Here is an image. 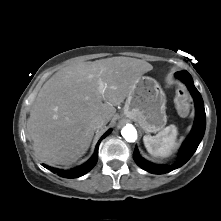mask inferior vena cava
Here are the masks:
<instances>
[{
  "instance_id": "inferior-vena-cava-1",
  "label": "inferior vena cava",
  "mask_w": 221,
  "mask_h": 221,
  "mask_svg": "<svg viewBox=\"0 0 221 221\" xmlns=\"http://www.w3.org/2000/svg\"><path fill=\"white\" fill-rule=\"evenodd\" d=\"M91 125L93 126V128L99 129L105 125V120L101 117H96L91 121Z\"/></svg>"
}]
</instances>
